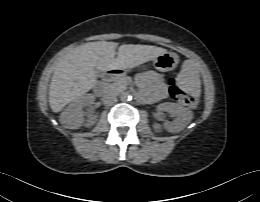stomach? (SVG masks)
<instances>
[{"label": "stomach", "instance_id": "1", "mask_svg": "<svg viewBox=\"0 0 260 202\" xmlns=\"http://www.w3.org/2000/svg\"><path fill=\"white\" fill-rule=\"evenodd\" d=\"M179 62V57L174 52H165L153 59L154 67L162 72L170 71L176 68Z\"/></svg>", "mask_w": 260, "mask_h": 202}]
</instances>
